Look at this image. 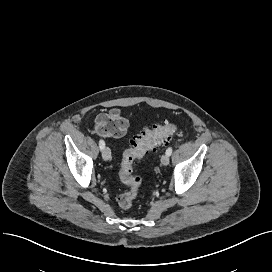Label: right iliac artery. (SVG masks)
Returning a JSON list of instances; mask_svg holds the SVG:
<instances>
[{"label": "right iliac artery", "instance_id": "obj_1", "mask_svg": "<svg viewBox=\"0 0 272 272\" xmlns=\"http://www.w3.org/2000/svg\"><path fill=\"white\" fill-rule=\"evenodd\" d=\"M99 147H100V150H103L105 148V142H104V140L101 139L99 141Z\"/></svg>", "mask_w": 272, "mask_h": 272}]
</instances>
